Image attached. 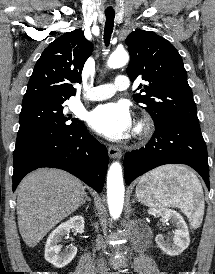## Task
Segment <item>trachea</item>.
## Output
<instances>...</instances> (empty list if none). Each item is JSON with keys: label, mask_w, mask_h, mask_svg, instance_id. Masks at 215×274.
<instances>
[{"label": "trachea", "mask_w": 215, "mask_h": 274, "mask_svg": "<svg viewBox=\"0 0 215 274\" xmlns=\"http://www.w3.org/2000/svg\"><path fill=\"white\" fill-rule=\"evenodd\" d=\"M106 23H105V29H104V42L105 45L108 46L111 38V34L113 32L114 27V13H106Z\"/></svg>", "instance_id": "1"}]
</instances>
